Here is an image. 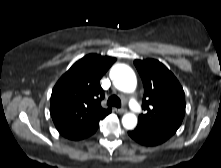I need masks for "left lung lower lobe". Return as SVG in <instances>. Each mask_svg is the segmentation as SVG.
Instances as JSON below:
<instances>
[{
	"label": "left lung lower lobe",
	"mask_w": 221,
	"mask_h": 168,
	"mask_svg": "<svg viewBox=\"0 0 221 168\" xmlns=\"http://www.w3.org/2000/svg\"><path fill=\"white\" fill-rule=\"evenodd\" d=\"M129 136L136 142L145 146H155L165 142L169 137L137 126L134 130L128 132Z\"/></svg>",
	"instance_id": "left-lung-lower-lobe-1"
}]
</instances>
